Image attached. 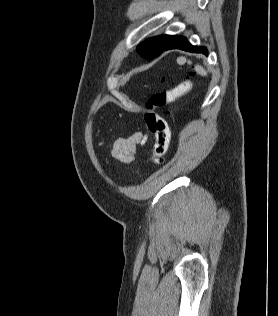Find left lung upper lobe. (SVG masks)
I'll use <instances>...</instances> for the list:
<instances>
[{
	"label": "left lung upper lobe",
	"mask_w": 278,
	"mask_h": 316,
	"mask_svg": "<svg viewBox=\"0 0 278 316\" xmlns=\"http://www.w3.org/2000/svg\"><path fill=\"white\" fill-rule=\"evenodd\" d=\"M174 35H161L153 38H149L138 45V53L146 58L151 59L159 56L166 46L172 41Z\"/></svg>",
	"instance_id": "1"
}]
</instances>
